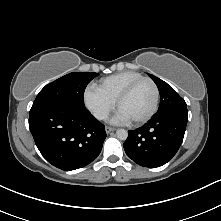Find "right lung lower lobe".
Returning a JSON list of instances; mask_svg holds the SVG:
<instances>
[{
    "label": "right lung lower lobe",
    "instance_id": "obj_1",
    "mask_svg": "<svg viewBox=\"0 0 221 221\" xmlns=\"http://www.w3.org/2000/svg\"><path fill=\"white\" fill-rule=\"evenodd\" d=\"M29 128L42 156L71 171L91 163L106 138L104 125L85 108L50 105L30 112Z\"/></svg>",
    "mask_w": 221,
    "mask_h": 221
}]
</instances>
